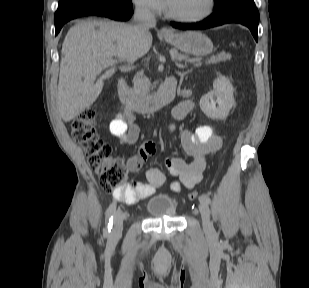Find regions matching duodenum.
Masks as SVG:
<instances>
[{"mask_svg": "<svg viewBox=\"0 0 309 288\" xmlns=\"http://www.w3.org/2000/svg\"><path fill=\"white\" fill-rule=\"evenodd\" d=\"M117 90L120 101L126 108L145 114L159 110L173 100L175 95V81L169 80L165 82L156 94L143 99H139L134 95L123 78L118 81Z\"/></svg>", "mask_w": 309, "mask_h": 288, "instance_id": "duodenum-1", "label": "duodenum"}]
</instances>
